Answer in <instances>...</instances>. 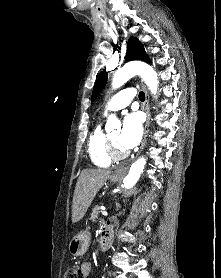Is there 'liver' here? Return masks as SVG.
Returning a JSON list of instances; mask_svg holds the SVG:
<instances>
[{
    "mask_svg": "<svg viewBox=\"0 0 221 278\" xmlns=\"http://www.w3.org/2000/svg\"><path fill=\"white\" fill-rule=\"evenodd\" d=\"M111 172L101 169H85L81 172L74 191L72 222H79L87 212L94 197L109 179Z\"/></svg>",
    "mask_w": 221,
    "mask_h": 278,
    "instance_id": "1",
    "label": "liver"
}]
</instances>
